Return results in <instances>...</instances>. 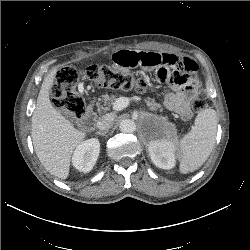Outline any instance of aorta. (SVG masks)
<instances>
[{
  "label": "aorta",
  "mask_w": 250,
  "mask_h": 250,
  "mask_svg": "<svg viewBox=\"0 0 250 250\" xmlns=\"http://www.w3.org/2000/svg\"><path fill=\"white\" fill-rule=\"evenodd\" d=\"M119 129L123 133H133L136 130V124L133 120L124 119L120 122Z\"/></svg>",
  "instance_id": "aorta-1"
}]
</instances>
